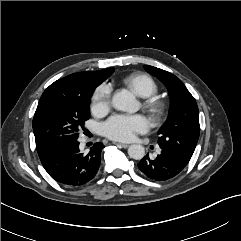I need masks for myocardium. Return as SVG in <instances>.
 Masks as SVG:
<instances>
[{
    "label": "myocardium",
    "instance_id": "myocardium-1",
    "mask_svg": "<svg viewBox=\"0 0 241 241\" xmlns=\"http://www.w3.org/2000/svg\"><path fill=\"white\" fill-rule=\"evenodd\" d=\"M142 107L148 111L151 117L156 121L161 120L166 112V103L154 95L145 98L142 103Z\"/></svg>",
    "mask_w": 241,
    "mask_h": 241
}]
</instances>
